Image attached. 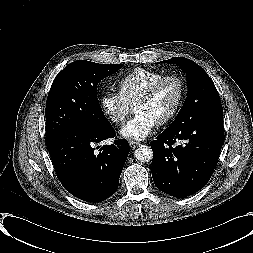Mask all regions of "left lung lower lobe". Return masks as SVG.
Segmentation results:
<instances>
[{"label":"left lung lower lobe","instance_id":"0a47b994","mask_svg":"<svg viewBox=\"0 0 253 253\" xmlns=\"http://www.w3.org/2000/svg\"><path fill=\"white\" fill-rule=\"evenodd\" d=\"M223 140V112L168 127L150 143L157 188L178 198L198 192L214 172Z\"/></svg>","mask_w":253,"mask_h":253}]
</instances>
